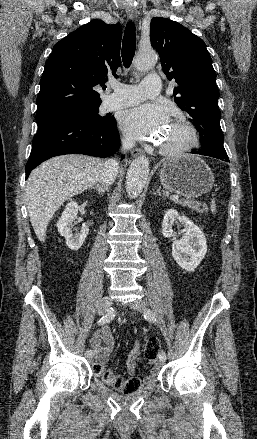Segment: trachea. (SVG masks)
Listing matches in <instances>:
<instances>
[{
    "mask_svg": "<svg viewBox=\"0 0 257 439\" xmlns=\"http://www.w3.org/2000/svg\"><path fill=\"white\" fill-rule=\"evenodd\" d=\"M134 23L128 22L125 28L123 43H122V60L125 68H129L134 54L136 46V33Z\"/></svg>",
    "mask_w": 257,
    "mask_h": 439,
    "instance_id": "obj_1",
    "label": "trachea"
}]
</instances>
